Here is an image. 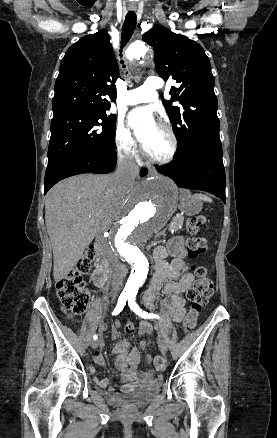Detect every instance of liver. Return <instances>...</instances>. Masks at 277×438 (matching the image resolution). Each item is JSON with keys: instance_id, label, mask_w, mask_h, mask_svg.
Returning a JSON list of instances; mask_svg holds the SVG:
<instances>
[{"instance_id": "1", "label": "liver", "mask_w": 277, "mask_h": 438, "mask_svg": "<svg viewBox=\"0 0 277 438\" xmlns=\"http://www.w3.org/2000/svg\"><path fill=\"white\" fill-rule=\"evenodd\" d=\"M121 205H127L126 188L118 190L114 174L72 176L48 192L45 224L55 282L70 274L97 232L110 230L119 220Z\"/></svg>"}]
</instances>
